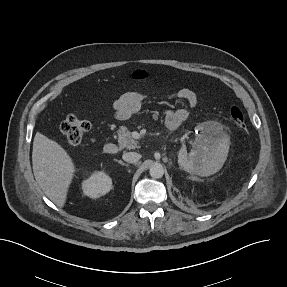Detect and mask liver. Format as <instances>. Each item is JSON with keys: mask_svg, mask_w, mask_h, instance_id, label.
Returning a JSON list of instances; mask_svg holds the SVG:
<instances>
[{"mask_svg": "<svg viewBox=\"0 0 287 287\" xmlns=\"http://www.w3.org/2000/svg\"><path fill=\"white\" fill-rule=\"evenodd\" d=\"M32 165L35 179L45 195L63 207L76 171L70 155L56 141L37 132L33 141Z\"/></svg>", "mask_w": 287, "mask_h": 287, "instance_id": "obj_1", "label": "liver"}]
</instances>
